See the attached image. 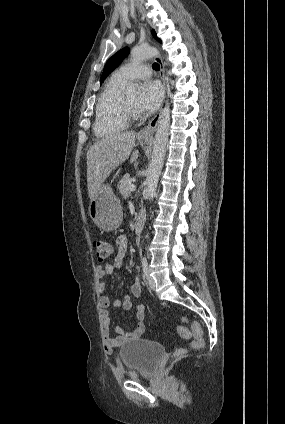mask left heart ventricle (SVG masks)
<instances>
[{"mask_svg": "<svg viewBox=\"0 0 285 424\" xmlns=\"http://www.w3.org/2000/svg\"><path fill=\"white\" fill-rule=\"evenodd\" d=\"M125 100L128 102L129 105H131L134 109H136L138 97L137 96H129L126 97Z\"/></svg>", "mask_w": 285, "mask_h": 424, "instance_id": "1", "label": "left heart ventricle"}]
</instances>
